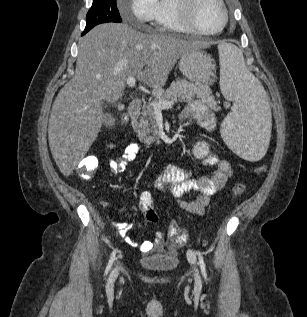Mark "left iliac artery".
I'll list each match as a JSON object with an SVG mask.
<instances>
[{
    "instance_id": "obj_1",
    "label": "left iliac artery",
    "mask_w": 307,
    "mask_h": 317,
    "mask_svg": "<svg viewBox=\"0 0 307 317\" xmlns=\"http://www.w3.org/2000/svg\"><path fill=\"white\" fill-rule=\"evenodd\" d=\"M197 255H198V259H199V265H200V268H201V272H202L205 280H207V273H206V267H205V263H204V260H203V256H202L200 251L197 252Z\"/></svg>"
}]
</instances>
